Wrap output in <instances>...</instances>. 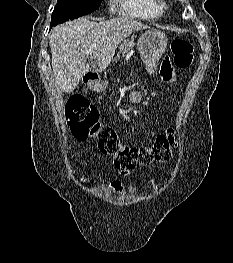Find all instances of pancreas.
Wrapping results in <instances>:
<instances>
[{"instance_id": "obj_1", "label": "pancreas", "mask_w": 233, "mask_h": 263, "mask_svg": "<svg viewBox=\"0 0 233 263\" xmlns=\"http://www.w3.org/2000/svg\"><path fill=\"white\" fill-rule=\"evenodd\" d=\"M134 46V42L133 41H125L123 42L120 46H119V53L118 56L120 54H126L130 48H132Z\"/></svg>"}]
</instances>
